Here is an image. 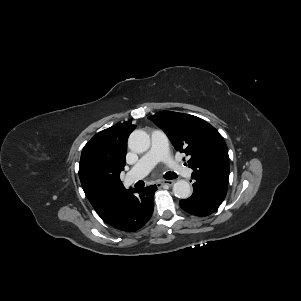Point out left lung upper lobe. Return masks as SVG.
I'll return each mask as SVG.
<instances>
[{
	"instance_id": "1",
	"label": "left lung upper lobe",
	"mask_w": 301,
	"mask_h": 301,
	"mask_svg": "<svg viewBox=\"0 0 301 301\" xmlns=\"http://www.w3.org/2000/svg\"><path fill=\"white\" fill-rule=\"evenodd\" d=\"M163 129L175 149L190 156L192 176L228 186L229 156L223 137L205 120L193 115L162 111L148 117Z\"/></svg>"
}]
</instances>
